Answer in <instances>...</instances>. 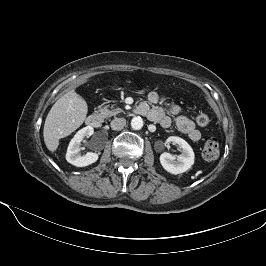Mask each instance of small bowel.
<instances>
[{
	"label": "small bowel",
	"mask_w": 266,
	"mask_h": 266,
	"mask_svg": "<svg viewBox=\"0 0 266 266\" xmlns=\"http://www.w3.org/2000/svg\"><path fill=\"white\" fill-rule=\"evenodd\" d=\"M165 98L157 91H151L148 94L150 104L163 102ZM141 115L146 116L153 122L159 123L164 128H169L172 124L171 115L174 116L177 129L186 134L192 141H198L201 138V133L196 129L193 121L188 118L180 106L171 105L168 110L160 107H152L148 103L139 105Z\"/></svg>",
	"instance_id": "small-bowel-1"
}]
</instances>
